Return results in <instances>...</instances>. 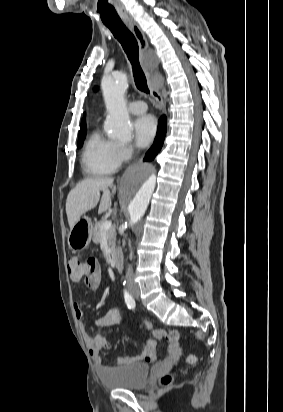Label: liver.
<instances>
[{"instance_id":"1","label":"liver","mask_w":283,"mask_h":412,"mask_svg":"<svg viewBox=\"0 0 283 412\" xmlns=\"http://www.w3.org/2000/svg\"><path fill=\"white\" fill-rule=\"evenodd\" d=\"M113 181L114 179L109 177L88 178L78 183L69 192L66 200V214L70 229L80 220L81 215L98 205L101 191H103V196L98 212H106L111 207V197L116 187H113L112 193L108 188L113 185Z\"/></svg>"}]
</instances>
